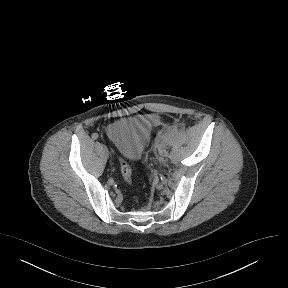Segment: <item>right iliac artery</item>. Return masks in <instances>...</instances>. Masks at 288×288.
Returning a JSON list of instances; mask_svg holds the SVG:
<instances>
[{"label": "right iliac artery", "mask_w": 288, "mask_h": 288, "mask_svg": "<svg viewBox=\"0 0 288 288\" xmlns=\"http://www.w3.org/2000/svg\"><path fill=\"white\" fill-rule=\"evenodd\" d=\"M92 138H93L94 140H96V139L98 138V134H97V133H93V134H92Z\"/></svg>", "instance_id": "82829eb1"}]
</instances>
